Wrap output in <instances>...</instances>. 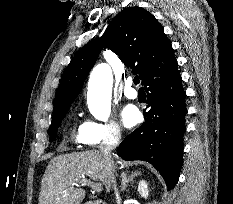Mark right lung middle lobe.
Instances as JSON below:
<instances>
[{
	"mask_svg": "<svg viewBox=\"0 0 233 204\" xmlns=\"http://www.w3.org/2000/svg\"><path fill=\"white\" fill-rule=\"evenodd\" d=\"M66 113L67 112H65L62 115L52 119V123H51V126H50V132H49V135H50L49 140L50 141H54L56 139V133H57L58 126L60 125L61 120L64 118Z\"/></svg>",
	"mask_w": 233,
	"mask_h": 204,
	"instance_id": "obj_1",
	"label": "right lung middle lobe"
}]
</instances>
